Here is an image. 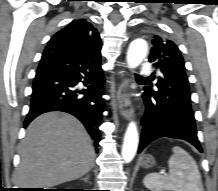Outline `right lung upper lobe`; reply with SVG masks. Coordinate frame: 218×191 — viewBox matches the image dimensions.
I'll use <instances>...</instances> for the list:
<instances>
[{"label":"right lung upper lobe","instance_id":"1","mask_svg":"<svg viewBox=\"0 0 218 191\" xmlns=\"http://www.w3.org/2000/svg\"><path fill=\"white\" fill-rule=\"evenodd\" d=\"M48 45L62 46L81 53L101 50L99 33L84 19L76 20L57 32Z\"/></svg>","mask_w":218,"mask_h":191}]
</instances>
